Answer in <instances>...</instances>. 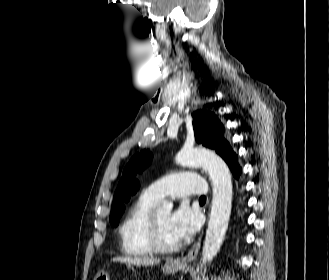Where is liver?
Listing matches in <instances>:
<instances>
[{"instance_id": "6515ba94", "label": "liver", "mask_w": 329, "mask_h": 280, "mask_svg": "<svg viewBox=\"0 0 329 280\" xmlns=\"http://www.w3.org/2000/svg\"><path fill=\"white\" fill-rule=\"evenodd\" d=\"M114 262H121L135 266H152L160 263V259L137 256H119L113 258Z\"/></svg>"}]
</instances>
